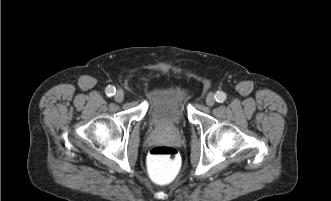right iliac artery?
<instances>
[{"mask_svg":"<svg viewBox=\"0 0 331 201\" xmlns=\"http://www.w3.org/2000/svg\"><path fill=\"white\" fill-rule=\"evenodd\" d=\"M115 91H116V89L113 86H108L105 89V93L107 96H113L115 94Z\"/></svg>","mask_w":331,"mask_h":201,"instance_id":"right-iliac-artery-1","label":"right iliac artery"}]
</instances>
